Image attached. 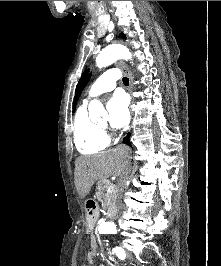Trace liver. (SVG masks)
<instances>
[{
	"label": "liver",
	"mask_w": 221,
	"mask_h": 266,
	"mask_svg": "<svg viewBox=\"0 0 221 266\" xmlns=\"http://www.w3.org/2000/svg\"><path fill=\"white\" fill-rule=\"evenodd\" d=\"M130 150L119 146L95 155L80 156L75 161L74 182L81 199L85 198L97 180L111 176L121 178L129 162Z\"/></svg>",
	"instance_id": "liver-1"
}]
</instances>
